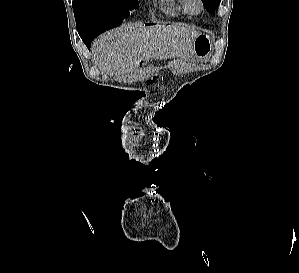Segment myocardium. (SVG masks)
<instances>
[{
	"label": "myocardium",
	"mask_w": 299,
	"mask_h": 273,
	"mask_svg": "<svg viewBox=\"0 0 299 273\" xmlns=\"http://www.w3.org/2000/svg\"><path fill=\"white\" fill-rule=\"evenodd\" d=\"M187 4L193 14H199L204 8L202 0H187Z\"/></svg>",
	"instance_id": "1"
}]
</instances>
